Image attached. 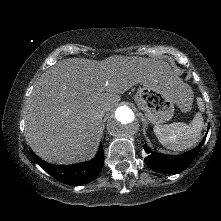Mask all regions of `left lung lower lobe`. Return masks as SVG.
<instances>
[{
	"mask_svg": "<svg viewBox=\"0 0 221 221\" xmlns=\"http://www.w3.org/2000/svg\"><path fill=\"white\" fill-rule=\"evenodd\" d=\"M209 130V126H208ZM207 136V134H206ZM206 136L203 138L201 143L193 150L183 154V155H163L157 152H150L147 145L145 144L144 149L147 153H150L149 156L145 158V163L151 169L161 172V173H177L186 169L192 161L198 155Z\"/></svg>",
	"mask_w": 221,
	"mask_h": 221,
	"instance_id": "obj_1",
	"label": "left lung lower lobe"
}]
</instances>
